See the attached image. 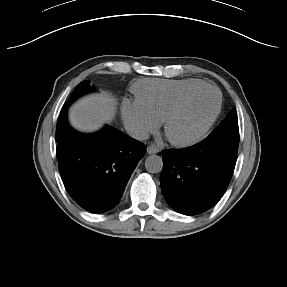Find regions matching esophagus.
<instances>
[{"mask_svg": "<svg viewBox=\"0 0 287 287\" xmlns=\"http://www.w3.org/2000/svg\"><path fill=\"white\" fill-rule=\"evenodd\" d=\"M160 150L156 145H150L147 147V153L148 154H155L158 153Z\"/></svg>", "mask_w": 287, "mask_h": 287, "instance_id": "1", "label": "esophagus"}]
</instances>
